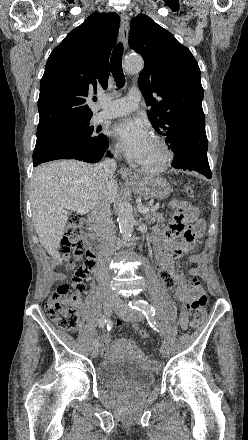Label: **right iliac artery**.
Here are the masks:
<instances>
[{
  "label": "right iliac artery",
  "mask_w": 248,
  "mask_h": 440,
  "mask_svg": "<svg viewBox=\"0 0 248 440\" xmlns=\"http://www.w3.org/2000/svg\"><path fill=\"white\" fill-rule=\"evenodd\" d=\"M98 323H99V327H100V328H103V327L106 325V323H107V319H106V317H105L104 315H102V316L100 317ZM98 345H99V342H98L97 339H95V340L93 341V346H94V347H98Z\"/></svg>",
  "instance_id": "right-iliac-artery-1"
}]
</instances>
